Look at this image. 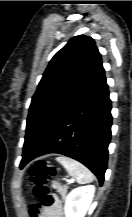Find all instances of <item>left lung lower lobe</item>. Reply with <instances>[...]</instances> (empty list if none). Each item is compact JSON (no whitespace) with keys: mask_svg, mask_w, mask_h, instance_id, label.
Listing matches in <instances>:
<instances>
[{"mask_svg":"<svg viewBox=\"0 0 132 217\" xmlns=\"http://www.w3.org/2000/svg\"><path fill=\"white\" fill-rule=\"evenodd\" d=\"M111 125V102L102 66L39 144L30 153L23 154L20 168L36 157L59 153L84 164L102 185L107 168Z\"/></svg>","mask_w":132,"mask_h":217,"instance_id":"obj_1","label":"left lung lower lobe"}]
</instances>
